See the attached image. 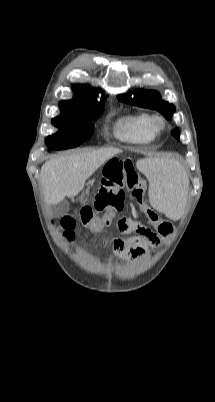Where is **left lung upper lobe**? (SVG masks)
<instances>
[{"label": "left lung upper lobe", "mask_w": 215, "mask_h": 402, "mask_svg": "<svg viewBox=\"0 0 215 402\" xmlns=\"http://www.w3.org/2000/svg\"><path fill=\"white\" fill-rule=\"evenodd\" d=\"M118 99L140 107L151 108L161 112L167 118H170L175 108L172 104L161 99L156 91L152 90H138L134 93V98H131V93L119 95ZM173 135L179 138V130H173Z\"/></svg>", "instance_id": "left-lung-upper-lobe-1"}]
</instances>
